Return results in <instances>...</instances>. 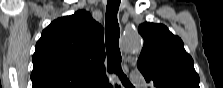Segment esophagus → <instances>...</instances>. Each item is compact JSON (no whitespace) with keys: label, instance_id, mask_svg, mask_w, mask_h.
Returning a JSON list of instances; mask_svg holds the SVG:
<instances>
[{"label":"esophagus","instance_id":"1","mask_svg":"<svg viewBox=\"0 0 223 88\" xmlns=\"http://www.w3.org/2000/svg\"><path fill=\"white\" fill-rule=\"evenodd\" d=\"M111 81L114 88L122 87L118 77L115 74H112Z\"/></svg>","mask_w":223,"mask_h":88}]
</instances>
